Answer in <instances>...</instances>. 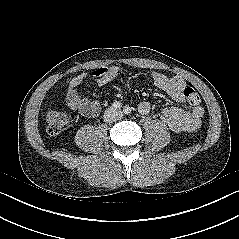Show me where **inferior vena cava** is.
I'll list each match as a JSON object with an SVG mask.
<instances>
[{
    "mask_svg": "<svg viewBox=\"0 0 239 239\" xmlns=\"http://www.w3.org/2000/svg\"><path fill=\"white\" fill-rule=\"evenodd\" d=\"M113 112H114L115 114H118L117 111H113ZM114 119H116V118H114ZM105 120H106V121H109L108 117H106Z\"/></svg>",
    "mask_w": 239,
    "mask_h": 239,
    "instance_id": "602c4592",
    "label": "inferior vena cava"
}]
</instances>
